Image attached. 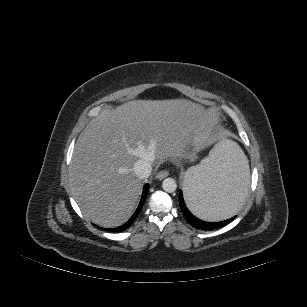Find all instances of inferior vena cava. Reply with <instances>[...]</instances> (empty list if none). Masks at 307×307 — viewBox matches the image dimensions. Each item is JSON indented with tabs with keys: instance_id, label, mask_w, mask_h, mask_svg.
Wrapping results in <instances>:
<instances>
[{
	"instance_id": "obj_1",
	"label": "inferior vena cava",
	"mask_w": 307,
	"mask_h": 307,
	"mask_svg": "<svg viewBox=\"0 0 307 307\" xmlns=\"http://www.w3.org/2000/svg\"><path fill=\"white\" fill-rule=\"evenodd\" d=\"M151 162L148 159H139L133 165V172L140 178H148L152 171Z\"/></svg>"
}]
</instances>
